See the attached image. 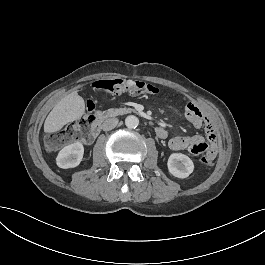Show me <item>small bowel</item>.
Instances as JSON below:
<instances>
[{"instance_id":"c3829d8e","label":"small bowel","mask_w":265,"mask_h":265,"mask_svg":"<svg viewBox=\"0 0 265 265\" xmlns=\"http://www.w3.org/2000/svg\"><path fill=\"white\" fill-rule=\"evenodd\" d=\"M185 115L187 119L195 126L200 128L203 124L206 126L208 141H206L202 136H174L169 142L168 146L173 151H187L192 155H200L205 153V155L213 161L217 154V144H216V133L212 122L208 117L202 112V110L194 103H187L185 106ZM164 130V129H163ZM166 136L162 139H165Z\"/></svg>"}]
</instances>
